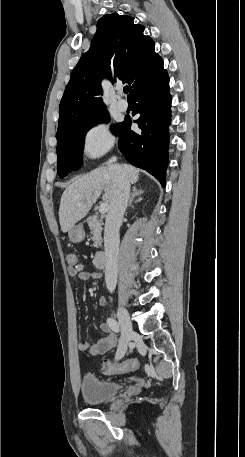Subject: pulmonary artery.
<instances>
[{
  "mask_svg": "<svg viewBox=\"0 0 245 457\" xmlns=\"http://www.w3.org/2000/svg\"><path fill=\"white\" fill-rule=\"evenodd\" d=\"M116 106L119 110L125 111L128 108V102L125 99H119Z\"/></svg>",
  "mask_w": 245,
  "mask_h": 457,
  "instance_id": "pulmonary-artery-1",
  "label": "pulmonary artery"
}]
</instances>
